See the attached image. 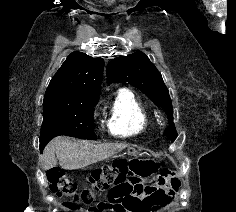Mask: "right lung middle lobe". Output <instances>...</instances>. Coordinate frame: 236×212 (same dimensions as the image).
Here are the masks:
<instances>
[{"label": "right lung middle lobe", "instance_id": "dd1d6c3e", "mask_svg": "<svg viewBox=\"0 0 236 212\" xmlns=\"http://www.w3.org/2000/svg\"><path fill=\"white\" fill-rule=\"evenodd\" d=\"M98 98L80 101H43V123L40 150L55 136L68 135L83 139H96L94 133V106Z\"/></svg>", "mask_w": 236, "mask_h": 212}]
</instances>
